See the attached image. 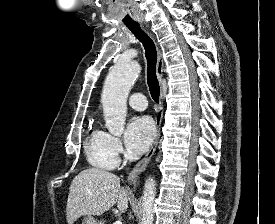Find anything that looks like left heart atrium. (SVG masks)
<instances>
[{
    "instance_id": "1",
    "label": "left heart atrium",
    "mask_w": 275,
    "mask_h": 224,
    "mask_svg": "<svg viewBox=\"0 0 275 224\" xmlns=\"http://www.w3.org/2000/svg\"><path fill=\"white\" fill-rule=\"evenodd\" d=\"M155 125L148 116H135L128 123L124 140L126 147L135 154L145 152L155 138Z\"/></svg>"
}]
</instances>
